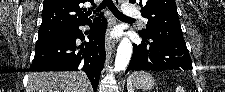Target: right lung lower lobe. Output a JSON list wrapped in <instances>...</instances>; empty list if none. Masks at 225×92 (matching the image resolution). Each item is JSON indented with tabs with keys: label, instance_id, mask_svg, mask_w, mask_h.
<instances>
[{
	"label": "right lung lower lobe",
	"instance_id": "1",
	"mask_svg": "<svg viewBox=\"0 0 225 92\" xmlns=\"http://www.w3.org/2000/svg\"><path fill=\"white\" fill-rule=\"evenodd\" d=\"M103 16V14H101ZM90 26L89 42L80 47L76 39H83L79 30L81 25ZM107 22L101 24V18L72 27L63 38L50 39L36 43L35 57L29 71H84L93 87L97 90L101 70L105 62V29Z\"/></svg>",
	"mask_w": 225,
	"mask_h": 92
}]
</instances>
